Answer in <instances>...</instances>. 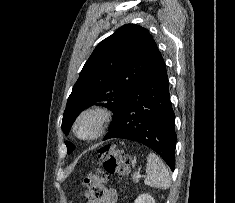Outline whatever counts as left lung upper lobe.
<instances>
[{
  "label": "left lung upper lobe",
  "instance_id": "obj_1",
  "mask_svg": "<svg viewBox=\"0 0 235 203\" xmlns=\"http://www.w3.org/2000/svg\"><path fill=\"white\" fill-rule=\"evenodd\" d=\"M157 52L148 30L135 24L123 25L101 41L85 63L68 98L63 131L68 134L76 117L93 105L113 111L115 120ZM66 146L68 153L75 148L70 142H66Z\"/></svg>",
  "mask_w": 235,
  "mask_h": 203
}]
</instances>
